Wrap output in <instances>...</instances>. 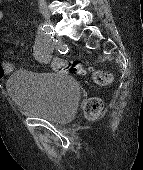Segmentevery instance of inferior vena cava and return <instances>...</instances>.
<instances>
[{
	"mask_svg": "<svg viewBox=\"0 0 143 170\" xmlns=\"http://www.w3.org/2000/svg\"><path fill=\"white\" fill-rule=\"evenodd\" d=\"M39 7L41 11L46 9V1L45 0H39Z\"/></svg>",
	"mask_w": 143,
	"mask_h": 170,
	"instance_id": "obj_1",
	"label": "inferior vena cava"
}]
</instances>
